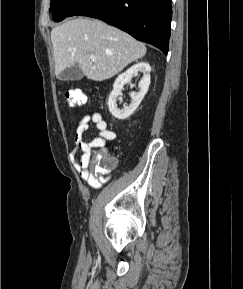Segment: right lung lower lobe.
<instances>
[{
  "mask_svg": "<svg viewBox=\"0 0 243 289\" xmlns=\"http://www.w3.org/2000/svg\"><path fill=\"white\" fill-rule=\"evenodd\" d=\"M75 15L103 20L168 53L171 0H85Z\"/></svg>",
  "mask_w": 243,
  "mask_h": 289,
  "instance_id": "right-lung-lower-lobe-1",
  "label": "right lung lower lobe"
}]
</instances>
